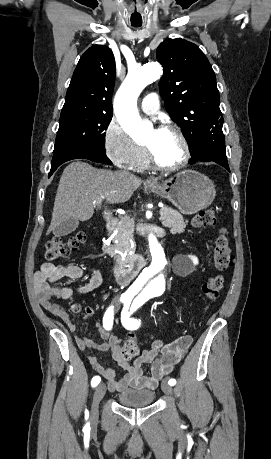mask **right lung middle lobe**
Returning <instances> with one entry per match:
<instances>
[{
  "instance_id": "1",
  "label": "right lung middle lobe",
  "mask_w": 271,
  "mask_h": 459,
  "mask_svg": "<svg viewBox=\"0 0 271 459\" xmlns=\"http://www.w3.org/2000/svg\"><path fill=\"white\" fill-rule=\"evenodd\" d=\"M113 114L61 113L53 155L74 147L105 151V130Z\"/></svg>"
}]
</instances>
